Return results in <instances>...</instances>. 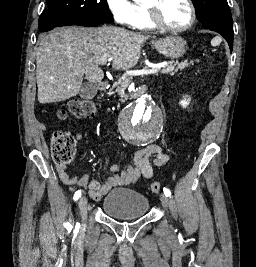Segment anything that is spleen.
<instances>
[{"label": "spleen", "mask_w": 256, "mask_h": 267, "mask_svg": "<svg viewBox=\"0 0 256 267\" xmlns=\"http://www.w3.org/2000/svg\"><path fill=\"white\" fill-rule=\"evenodd\" d=\"M222 40L221 38H219V36H216V38H213V40H211V44L212 46H219V44H221Z\"/></svg>", "instance_id": "1"}]
</instances>
